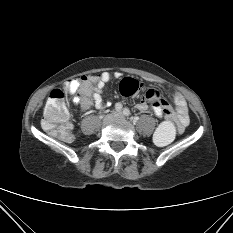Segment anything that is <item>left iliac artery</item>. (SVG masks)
Here are the masks:
<instances>
[{
	"label": "left iliac artery",
	"mask_w": 233,
	"mask_h": 233,
	"mask_svg": "<svg viewBox=\"0 0 233 233\" xmlns=\"http://www.w3.org/2000/svg\"><path fill=\"white\" fill-rule=\"evenodd\" d=\"M123 114H124L125 116H129V115H130L129 109H128V108H124Z\"/></svg>",
	"instance_id": "44dca946"
}]
</instances>
